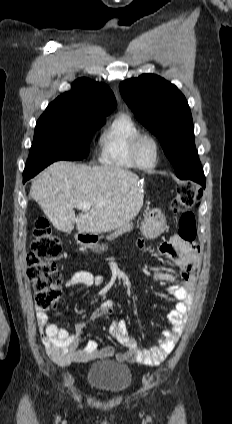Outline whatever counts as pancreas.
<instances>
[{
  "mask_svg": "<svg viewBox=\"0 0 232 424\" xmlns=\"http://www.w3.org/2000/svg\"><path fill=\"white\" fill-rule=\"evenodd\" d=\"M133 229L132 223L127 222L123 226L119 227L113 234H111L108 238L113 239L116 238L119 235H122L125 232H129Z\"/></svg>",
  "mask_w": 232,
  "mask_h": 424,
  "instance_id": "cf45deb5",
  "label": "pancreas"
}]
</instances>
